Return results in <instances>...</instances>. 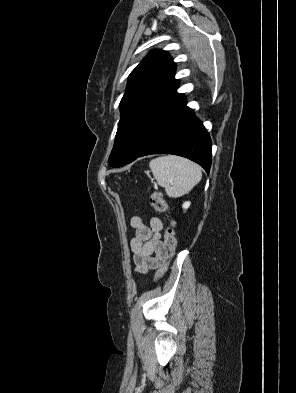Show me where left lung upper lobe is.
Masks as SVG:
<instances>
[{
  "label": "left lung upper lobe",
  "mask_w": 296,
  "mask_h": 393,
  "mask_svg": "<svg viewBox=\"0 0 296 393\" xmlns=\"http://www.w3.org/2000/svg\"><path fill=\"white\" fill-rule=\"evenodd\" d=\"M175 63L166 51H153L131 72L120 102L121 118L109 164H125L149 125L180 94Z\"/></svg>",
  "instance_id": "1"
}]
</instances>
